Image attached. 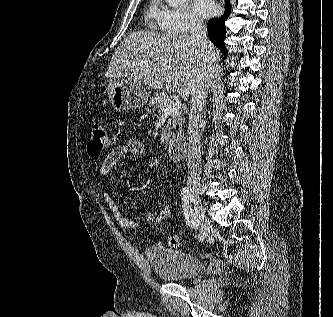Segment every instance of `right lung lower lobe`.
I'll return each mask as SVG.
<instances>
[{
	"label": "right lung lower lobe",
	"mask_w": 333,
	"mask_h": 317,
	"mask_svg": "<svg viewBox=\"0 0 333 317\" xmlns=\"http://www.w3.org/2000/svg\"><path fill=\"white\" fill-rule=\"evenodd\" d=\"M230 12H231L230 0H226L224 14L220 18L217 19L214 18L209 20L207 24L209 39L225 55H227L228 52L223 42L226 34V28L224 22L229 17Z\"/></svg>",
	"instance_id": "right-lung-lower-lobe-1"
}]
</instances>
